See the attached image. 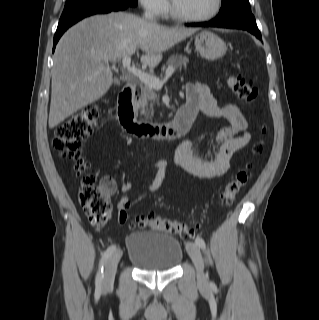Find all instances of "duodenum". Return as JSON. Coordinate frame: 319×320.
Returning <instances> with one entry per match:
<instances>
[{
  "instance_id": "410a0bca",
  "label": "duodenum",
  "mask_w": 319,
  "mask_h": 320,
  "mask_svg": "<svg viewBox=\"0 0 319 320\" xmlns=\"http://www.w3.org/2000/svg\"><path fill=\"white\" fill-rule=\"evenodd\" d=\"M135 85L128 83L118 96L117 116L120 125L137 138L170 140L183 135L191 127L196 110L182 106L174 119L168 123L151 124L135 120L133 101Z\"/></svg>"
}]
</instances>
